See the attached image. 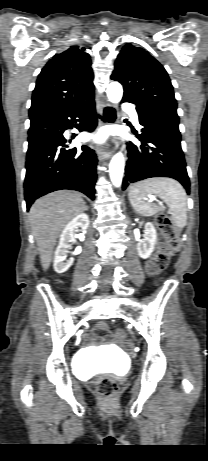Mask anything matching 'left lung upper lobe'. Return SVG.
<instances>
[{
  "label": "left lung upper lobe",
  "instance_id": "obj_1",
  "mask_svg": "<svg viewBox=\"0 0 208 461\" xmlns=\"http://www.w3.org/2000/svg\"><path fill=\"white\" fill-rule=\"evenodd\" d=\"M111 79L124 87L123 99L140 110L177 112L173 86L164 67L147 51L126 44L119 53Z\"/></svg>",
  "mask_w": 208,
  "mask_h": 461
}]
</instances>
